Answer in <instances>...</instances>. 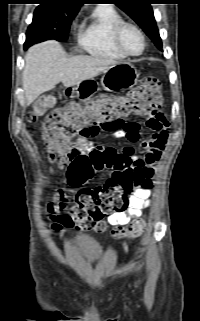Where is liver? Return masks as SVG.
<instances>
[{
  "label": "liver",
  "instance_id": "1",
  "mask_svg": "<svg viewBox=\"0 0 200 321\" xmlns=\"http://www.w3.org/2000/svg\"><path fill=\"white\" fill-rule=\"evenodd\" d=\"M115 64H118L116 60L103 56L80 55L69 58L56 41L34 45L25 55L22 73L27 104L60 82L65 87H71L96 77Z\"/></svg>",
  "mask_w": 200,
  "mask_h": 321
}]
</instances>
